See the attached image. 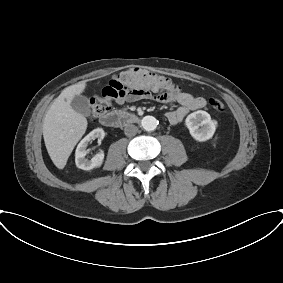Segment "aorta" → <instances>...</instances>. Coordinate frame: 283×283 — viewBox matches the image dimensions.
<instances>
[{"mask_svg": "<svg viewBox=\"0 0 283 283\" xmlns=\"http://www.w3.org/2000/svg\"><path fill=\"white\" fill-rule=\"evenodd\" d=\"M157 125H158V121L153 116H145L141 120V126L146 131H153V130H155Z\"/></svg>", "mask_w": 283, "mask_h": 283, "instance_id": "obj_1", "label": "aorta"}]
</instances>
